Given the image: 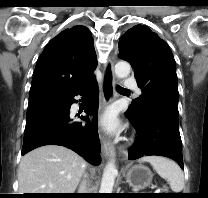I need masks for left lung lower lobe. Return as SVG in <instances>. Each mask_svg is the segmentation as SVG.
Returning <instances> with one entry per match:
<instances>
[{"instance_id":"obj_1","label":"left lung lower lobe","mask_w":208,"mask_h":198,"mask_svg":"<svg viewBox=\"0 0 208 198\" xmlns=\"http://www.w3.org/2000/svg\"><path fill=\"white\" fill-rule=\"evenodd\" d=\"M125 114L137 133L136 142L128 150L129 160L158 155L168 157L184 168L177 117L157 106L147 108L136 118Z\"/></svg>"}]
</instances>
